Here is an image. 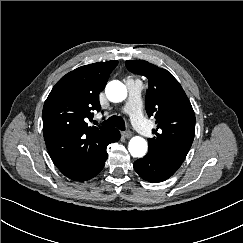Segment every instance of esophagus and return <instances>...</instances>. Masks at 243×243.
I'll return each mask as SVG.
<instances>
[{
    "label": "esophagus",
    "mask_w": 243,
    "mask_h": 243,
    "mask_svg": "<svg viewBox=\"0 0 243 243\" xmlns=\"http://www.w3.org/2000/svg\"><path fill=\"white\" fill-rule=\"evenodd\" d=\"M122 136L125 138H130L132 136L131 131H123Z\"/></svg>",
    "instance_id": "34e87169"
}]
</instances>
